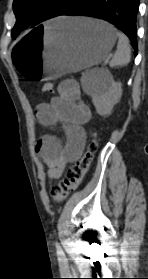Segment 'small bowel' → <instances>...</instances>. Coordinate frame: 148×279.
Masks as SVG:
<instances>
[{"mask_svg": "<svg viewBox=\"0 0 148 279\" xmlns=\"http://www.w3.org/2000/svg\"><path fill=\"white\" fill-rule=\"evenodd\" d=\"M57 92V96L39 104L35 110L41 125L61 124L66 137L64 144L51 134H45L37 141L36 152L47 166L50 179H59L66 165L81 154L86 137L83 126L91 118L88 106L79 101L81 92L75 80L62 81Z\"/></svg>", "mask_w": 148, "mask_h": 279, "instance_id": "small-bowel-1", "label": "small bowel"}]
</instances>
